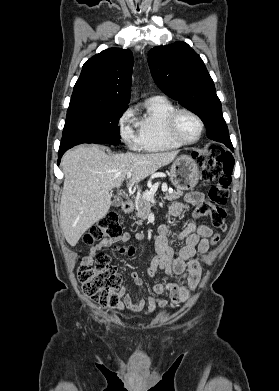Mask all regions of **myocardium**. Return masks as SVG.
<instances>
[{"label":"myocardium","mask_w":279,"mask_h":391,"mask_svg":"<svg viewBox=\"0 0 279 391\" xmlns=\"http://www.w3.org/2000/svg\"><path fill=\"white\" fill-rule=\"evenodd\" d=\"M182 113H187V114L191 115L199 124V133H198V136L194 140H191V141L184 140L183 138L180 137V135L177 132L178 118ZM167 130H168L169 137L177 144H179L181 146L192 145V144H195L196 142H198L200 140V138L202 137L203 132H204V122L195 111H193L189 108H185V107L175 108L168 116Z\"/></svg>","instance_id":"f54148a6"}]
</instances>
